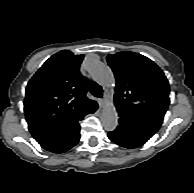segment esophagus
<instances>
[{
  "label": "esophagus",
  "mask_w": 194,
  "mask_h": 193,
  "mask_svg": "<svg viewBox=\"0 0 194 193\" xmlns=\"http://www.w3.org/2000/svg\"><path fill=\"white\" fill-rule=\"evenodd\" d=\"M106 102H107L106 98L100 99L99 100V105L102 107V106H104L106 104Z\"/></svg>",
  "instance_id": "esophagus-1"
}]
</instances>
